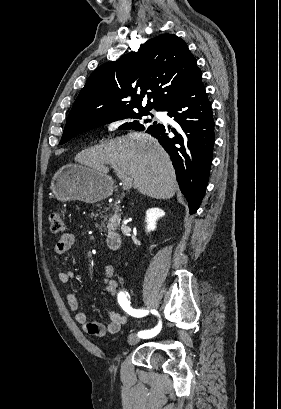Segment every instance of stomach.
<instances>
[{
	"label": "stomach",
	"instance_id": "1",
	"mask_svg": "<svg viewBox=\"0 0 281 409\" xmlns=\"http://www.w3.org/2000/svg\"><path fill=\"white\" fill-rule=\"evenodd\" d=\"M57 200L97 202L113 192V180L87 164H64L51 180L50 186Z\"/></svg>",
	"mask_w": 281,
	"mask_h": 409
}]
</instances>
